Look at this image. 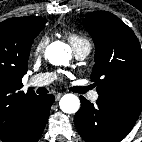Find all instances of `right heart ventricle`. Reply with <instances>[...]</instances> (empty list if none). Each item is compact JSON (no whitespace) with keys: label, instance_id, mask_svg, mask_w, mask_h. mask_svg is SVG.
I'll list each match as a JSON object with an SVG mask.
<instances>
[{"label":"right heart ventricle","instance_id":"right-heart-ventricle-1","mask_svg":"<svg viewBox=\"0 0 142 142\" xmlns=\"http://www.w3.org/2000/svg\"><path fill=\"white\" fill-rule=\"evenodd\" d=\"M68 40L71 43L73 49L86 47L91 50L90 40L83 35L77 33H70L68 34Z\"/></svg>","mask_w":142,"mask_h":142}]
</instances>
